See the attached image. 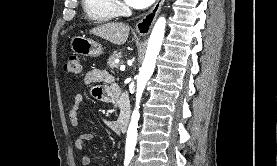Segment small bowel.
<instances>
[{"instance_id":"1","label":"small bowel","mask_w":277,"mask_h":166,"mask_svg":"<svg viewBox=\"0 0 277 166\" xmlns=\"http://www.w3.org/2000/svg\"><path fill=\"white\" fill-rule=\"evenodd\" d=\"M84 82L86 85L92 87V95L100 101L106 103H114L116 99V93L119 90L118 86L113 82L112 76L101 69H92L85 75ZM104 83V85L98 86V84ZM83 101L82 93H75L70 110H69V121L72 127L79 125V113L81 104ZM106 126L113 131L118 133V125L114 121H105ZM94 139V134L90 132L81 133L74 140V147L80 153L81 164L84 166L91 165V158L85 151V144Z\"/></svg>"}]
</instances>
